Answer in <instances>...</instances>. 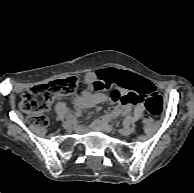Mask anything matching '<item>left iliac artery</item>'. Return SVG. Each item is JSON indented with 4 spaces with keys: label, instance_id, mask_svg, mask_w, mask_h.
Here are the masks:
<instances>
[{
    "label": "left iliac artery",
    "instance_id": "left-iliac-artery-1",
    "mask_svg": "<svg viewBox=\"0 0 194 193\" xmlns=\"http://www.w3.org/2000/svg\"><path fill=\"white\" fill-rule=\"evenodd\" d=\"M126 123H131L132 122V117L131 116H127L125 119Z\"/></svg>",
    "mask_w": 194,
    "mask_h": 193
}]
</instances>
